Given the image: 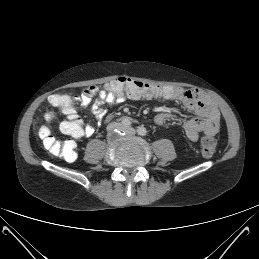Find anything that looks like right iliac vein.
Listing matches in <instances>:
<instances>
[{
    "label": "right iliac vein",
    "mask_w": 259,
    "mask_h": 259,
    "mask_svg": "<svg viewBox=\"0 0 259 259\" xmlns=\"http://www.w3.org/2000/svg\"><path fill=\"white\" fill-rule=\"evenodd\" d=\"M121 125L119 123H113L109 126V130H113V129H116V128H120Z\"/></svg>",
    "instance_id": "63e3f726"
}]
</instances>
